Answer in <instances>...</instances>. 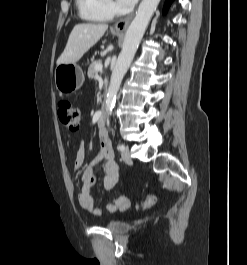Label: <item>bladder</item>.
Returning a JSON list of instances; mask_svg holds the SVG:
<instances>
[{"instance_id": "obj_1", "label": "bladder", "mask_w": 247, "mask_h": 265, "mask_svg": "<svg viewBox=\"0 0 247 265\" xmlns=\"http://www.w3.org/2000/svg\"><path fill=\"white\" fill-rule=\"evenodd\" d=\"M105 226L115 233H126L131 229V224L121 220H108Z\"/></svg>"}]
</instances>
